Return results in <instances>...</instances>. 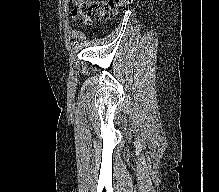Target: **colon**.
Returning <instances> with one entry per match:
<instances>
[{
	"instance_id": "5ec220e1",
	"label": "colon",
	"mask_w": 219,
	"mask_h": 192,
	"mask_svg": "<svg viewBox=\"0 0 219 192\" xmlns=\"http://www.w3.org/2000/svg\"><path fill=\"white\" fill-rule=\"evenodd\" d=\"M132 0H75L72 11L74 21L81 25H88L96 19L113 16L116 11Z\"/></svg>"
}]
</instances>
